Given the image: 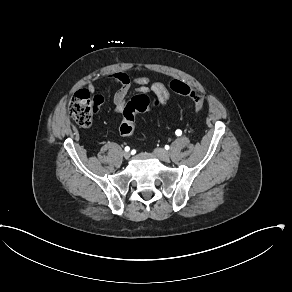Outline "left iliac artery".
I'll return each instance as SVG.
<instances>
[{
	"label": "left iliac artery",
	"mask_w": 292,
	"mask_h": 292,
	"mask_svg": "<svg viewBox=\"0 0 292 292\" xmlns=\"http://www.w3.org/2000/svg\"><path fill=\"white\" fill-rule=\"evenodd\" d=\"M175 134H176L177 136H181L182 131H181V130H176Z\"/></svg>",
	"instance_id": "1"
}]
</instances>
